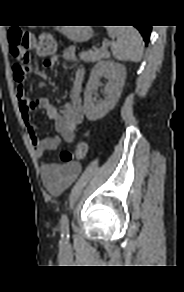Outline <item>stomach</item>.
<instances>
[{
  "label": "stomach",
  "instance_id": "1",
  "mask_svg": "<svg viewBox=\"0 0 184 292\" xmlns=\"http://www.w3.org/2000/svg\"><path fill=\"white\" fill-rule=\"evenodd\" d=\"M63 33L74 42H82L88 40L92 36V31L87 27L65 26Z\"/></svg>",
  "mask_w": 184,
  "mask_h": 292
}]
</instances>
